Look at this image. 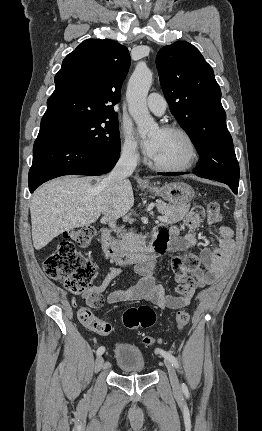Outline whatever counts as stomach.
I'll list each match as a JSON object with an SVG mask.
<instances>
[{
    "label": "stomach",
    "instance_id": "stomach-1",
    "mask_svg": "<svg viewBox=\"0 0 262 431\" xmlns=\"http://www.w3.org/2000/svg\"><path fill=\"white\" fill-rule=\"evenodd\" d=\"M149 190L173 205H187L194 197L192 187L184 182H171L161 187L152 186Z\"/></svg>",
    "mask_w": 262,
    "mask_h": 431
}]
</instances>
